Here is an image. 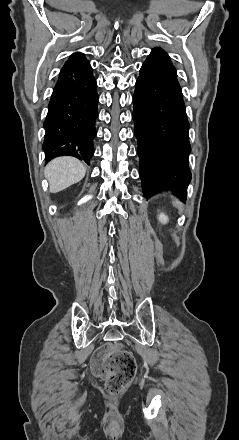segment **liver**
I'll list each match as a JSON object with an SVG mask.
<instances>
[{"label":"liver","instance_id":"obj_1","mask_svg":"<svg viewBox=\"0 0 239 440\" xmlns=\"http://www.w3.org/2000/svg\"><path fill=\"white\" fill-rule=\"evenodd\" d=\"M86 174V168L77 158L63 156L55 158L47 164L44 170V176L49 182L50 192H61L69 188L72 184H77Z\"/></svg>","mask_w":239,"mask_h":440}]
</instances>
